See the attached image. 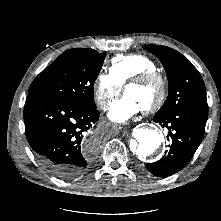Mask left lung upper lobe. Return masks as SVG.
Listing matches in <instances>:
<instances>
[{"instance_id":"left-lung-upper-lobe-1","label":"left lung upper lobe","mask_w":221,"mask_h":221,"mask_svg":"<svg viewBox=\"0 0 221 221\" xmlns=\"http://www.w3.org/2000/svg\"><path fill=\"white\" fill-rule=\"evenodd\" d=\"M163 64L169 83V93L157 116L193 106L208 110L203 79L194 65L178 51L166 46L144 45Z\"/></svg>"}]
</instances>
